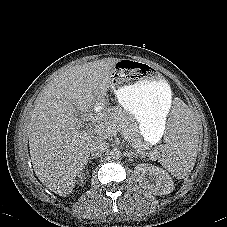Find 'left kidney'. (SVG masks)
<instances>
[{
  "instance_id": "left-kidney-1",
  "label": "left kidney",
  "mask_w": 227,
  "mask_h": 227,
  "mask_svg": "<svg viewBox=\"0 0 227 227\" xmlns=\"http://www.w3.org/2000/svg\"><path fill=\"white\" fill-rule=\"evenodd\" d=\"M134 174L139 185L154 195H167L173 191L174 182L171 176L159 167L138 164Z\"/></svg>"
}]
</instances>
